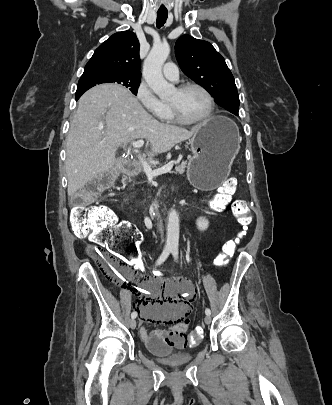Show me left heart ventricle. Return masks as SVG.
<instances>
[{"mask_svg":"<svg viewBox=\"0 0 332 405\" xmlns=\"http://www.w3.org/2000/svg\"><path fill=\"white\" fill-rule=\"evenodd\" d=\"M168 102L176 105L182 116L189 120L202 117L209 108L207 97L198 89H189L182 93L174 90Z\"/></svg>","mask_w":332,"mask_h":405,"instance_id":"obj_1","label":"left heart ventricle"}]
</instances>
